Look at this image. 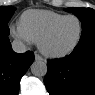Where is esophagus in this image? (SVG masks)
Returning a JSON list of instances; mask_svg holds the SVG:
<instances>
[{"label": "esophagus", "mask_w": 95, "mask_h": 95, "mask_svg": "<svg viewBox=\"0 0 95 95\" xmlns=\"http://www.w3.org/2000/svg\"><path fill=\"white\" fill-rule=\"evenodd\" d=\"M34 57H35V60H36V61H42V60H43L42 56H40V55L37 54V53H35Z\"/></svg>", "instance_id": "34e87169"}]
</instances>
